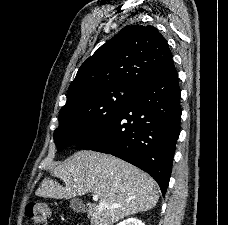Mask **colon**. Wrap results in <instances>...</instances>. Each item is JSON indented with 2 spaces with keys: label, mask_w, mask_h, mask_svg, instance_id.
<instances>
[{
  "label": "colon",
  "mask_w": 228,
  "mask_h": 225,
  "mask_svg": "<svg viewBox=\"0 0 228 225\" xmlns=\"http://www.w3.org/2000/svg\"><path fill=\"white\" fill-rule=\"evenodd\" d=\"M26 215L33 225L50 224V208L45 202L31 200L26 208Z\"/></svg>",
  "instance_id": "colon-1"
}]
</instances>
